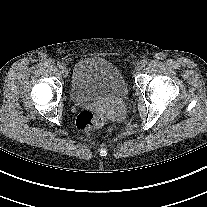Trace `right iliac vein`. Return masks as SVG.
<instances>
[{
    "label": "right iliac vein",
    "instance_id": "63e3f726",
    "mask_svg": "<svg viewBox=\"0 0 207 207\" xmlns=\"http://www.w3.org/2000/svg\"><path fill=\"white\" fill-rule=\"evenodd\" d=\"M61 73L64 77H67L68 76V69L66 67H63L61 70Z\"/></svg>",
    "mask_w": 207,
    "mask_h": 207
}]
</instances>
